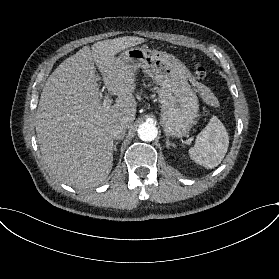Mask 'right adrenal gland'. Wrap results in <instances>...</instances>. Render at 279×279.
<instances>
[{
  "instance_id": "1",
  "label": "right adrenal gland",
  "mask_w": 279,
  "mask_h": 279,
  "mask_svg": "<svg viewBox=\"0 0 279 279\" xmlns=\"http://www.w3.org/2000/svg\"><path fill=\"white\" fill-rule=\"evenodd\" d=\"M119 144V141H116L114 144V151H117V145Z\"/></svg>"
}]
</instances>
